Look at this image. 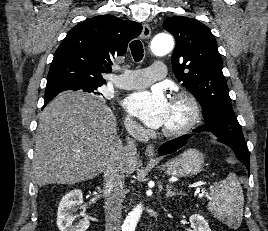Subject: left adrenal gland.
I'll return each mask as SVG.
<instances>
[{"label": "left adrenal gland", "instance_id": "a2214340", "mask_svg": "<svg viewBox=\"0 0 268 231\" xmlns=\"http://www.w3.org/2000/svg\"><path fill=\"white\" fill-rule=\"evenodd\" d=\"M176 195H178V192H176L175 190L173 191V187L167 184L166 185V198H170Z\"/></svg>", "mask_w": 268, "mask_h": 231}]
</instances>
